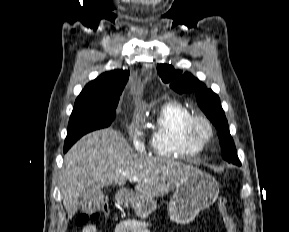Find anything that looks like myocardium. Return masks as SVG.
Here are the masks:
<instances>
[{
	"instance_id": "myocardium-1",
	"label": "myocardium",
	"mask_w": 289,
	"mask_h": 232,
	"mask_svg": "<svg viewBox=\"0 0 289 232\" xmlns=\"http://www.w3.org/2000/svg\"><path fill=\"white\" fill-rule=\"evenodd\" d=\"M200 126H204L207 130V135L205 137H200L198 135L197 131ZM184 134L189 142L202 148L212 141L214 129L211 122L205 116L192 114L185 123Z\"/></svg>"
}]
</instances>
